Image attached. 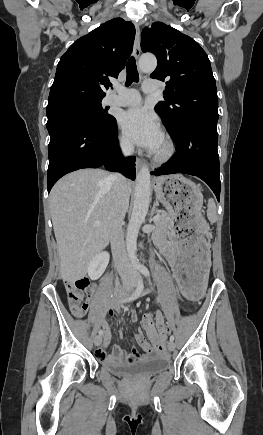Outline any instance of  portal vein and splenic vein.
I'll return each instance as SVG.
<instances>
[{
	"label": "portal vein and splenic vein",
	"mask_w": 263,
	"mask_h": 435,
	"mask_svg": "<svg viewBox=\"0 0 263 435\" xmlns=\"http://www.w3.org/2000/svg\"><path fill=\"white\" fill-rule=\"evenodd\" d=\"M160 217H161L160 215L155 216L154 219H153V222L156 223L160 219ZM95 225L99 226L100 223L96 222Z\"/></svg>",
	"instance_id": "18ae733b"
}]
</instances>
